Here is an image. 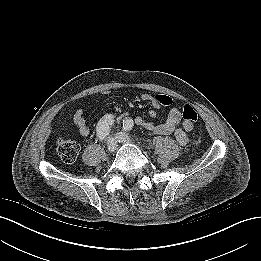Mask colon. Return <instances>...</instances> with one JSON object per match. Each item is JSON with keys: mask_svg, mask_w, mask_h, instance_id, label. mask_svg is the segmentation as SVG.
Instances as JSON below:
<instances>
[{"mask_svg": "<svg viewBox=\"0 0 261 261\" xmlns=\"http://www.w3.org/2000/svg\"><path fill=\"white\" fill-rule=\"evenodd\" d=\"M157 98L165 105L171 103L170 97H167L165 95H157ZM183 117L187 122L190 123H195L198 121L197 111L189 104H186L183 107ZM79 151V144L69 140H59L56 146V152L58 156L63 162L68 164L73 163L77 159Z\"/></svg>", "mask_w": 261, "mask_h": 261, "instance_id": "1", "label": "colon"}]
</instances>
